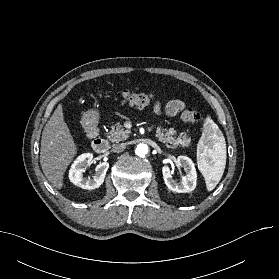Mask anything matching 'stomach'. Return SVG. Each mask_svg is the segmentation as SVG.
<instances>
[{
    "instance_id": "1",
    "label": "stomach",
    "mask_w": 279,
    "mask_h": 279,
    "mask_svg": "<svg viewBox=\"0 0 279 279\" xmlns=\"http://www.w3.org/2000/svg\"><path fill=\"white\" fill-rule=\"evenodd\" d=\"M99 121V112L96 110L88 111L83 116V124L85 127L90 128L95 126Z\"/></svg>"
}]
</instances>
